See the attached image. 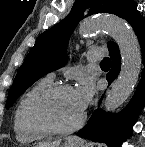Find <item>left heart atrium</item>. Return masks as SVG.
<instances>
[{"instance_id":"1","label":"left heart atrium","mask_w":145,"mask_h":147,"mask_svg":"<svg viewBox=\"0 0 145 147\" xmlns=\"http://www.w3.org/2000/svg\"><path fill=\"white\" fill-rule=\"evenodd\" d=\"M73 94L79 107L84 111L90 103L93 95V86L91 81L86 77L80 78L76 88L73 90Z\"/></svg>"}]
</instances>
